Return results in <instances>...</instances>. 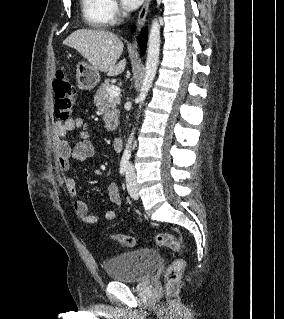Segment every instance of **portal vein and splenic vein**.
Segmentation results:
<instances>
[{"label":"portal vein and splenic vein","instance_id":"obj_1","mask_svg":"<svg viewBox=\"0 0 284 319\" xmlns=\"http://www.w3.org/2000/svg\"><path fill=\"white\" fill-rule=\"evenodd\" d=\"M108 93H109L110 97H117L120 95V88L118 86L112 85L108 89Z\"/></svg>","mask_w":284,"mask_h":319}]
</instances>
